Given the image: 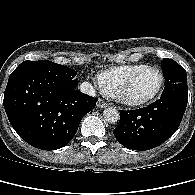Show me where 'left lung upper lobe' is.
<instances>
[{
    "label": "left lung upper lobe",
    "instance_id": "obj_1",
    "mask_svg": "<svg viewBox=\"0 0 195 195\" xmlns=\"http://www.w3.org/2000/svg\"><path fill=\"white\" fill-rule=\"evenodd\" d=\"M163 76L165 85L187 82V74L185 69L172 59H163L162 62Z\"/></svg>",
    "mask_w": 195,
    "mask_h": 195
}]
</instances>
